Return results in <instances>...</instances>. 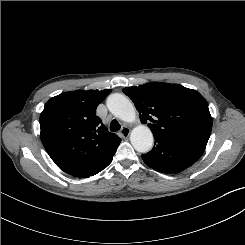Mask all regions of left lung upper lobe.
Returning <instances> with one entry per match:
<instances>
[{"mask_svg": "<svg viewBox=\"0 0 245 245\" xmlns=\"http://www.w3.org/2000/svg\"><path fill=\"white\" fill-rule=\"evenodd\" d=\"M142 123L148 122L154 137L186 143L205 150L212 129L207 101L178 84L153 82L126 87Z\"/></svg>", "mask_w": 245, "mask_h": 245, "instance_id": "5c2ea615", "label": "left lung upper lobe"}]
</instances>
